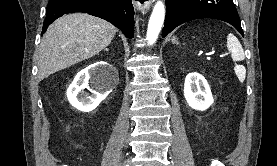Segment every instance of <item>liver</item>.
Returning <instances> with one entry per match:
<instances>
[{
  "instance_id": "6515ba94",
  "label": "liver",
  "mask_w": 277,
  "mask_h": 166,
  "mask_svg": "<svg viewBox=\"0 0 277 166\" xmlns=\"http://www.w3.org/2000/svg\"><path fill=\"white\" fill-rule=\"evenodd\" d=\"M116 28L109 22L74 13L57 19L47 29L40 44L38 79L89 59L113 40Z\"/></svg>"
}]
</instances>
